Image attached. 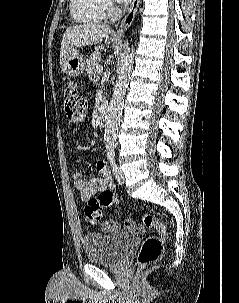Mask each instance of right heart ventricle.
I'll use <instances>...</instances> for the list:
<instances>
[{"instance_id":"obj_1","label":"right heart ventricle","mask_w":239,"mask_h":303,"mask_svg":"<svg viewBox=\"0 0 239 303\" xmlns=\"http://www.w3.org/2000/svg\"><path fill=\"white\" fill-rule=\"evenodd\" d=\"M71 15L79 23H95L105 19L101 0H70Z\"/></svg>"}]
</instances>
